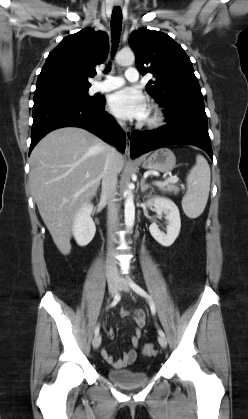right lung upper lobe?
Wrapping results in <instances>:
<instances>
[{
    "label": "right lung upper lobe",
    "mask_w": 248,
    "mask_h": 419,
    "mask_svg": "<svg viewBox=\"0 0 248 419\" xmlns=\"http://www.w3.org/2000/svg\"><path fill=\"white\" fill-rule=\"evenodd\" d=\"M106 33L85 28L65 37L53 49L39 74L35 94L65 89H88L87 77L96 74L95 66L108 55Z\"/></svg>",
    "instance_id": "cb5924a9"
}]
</instances>
